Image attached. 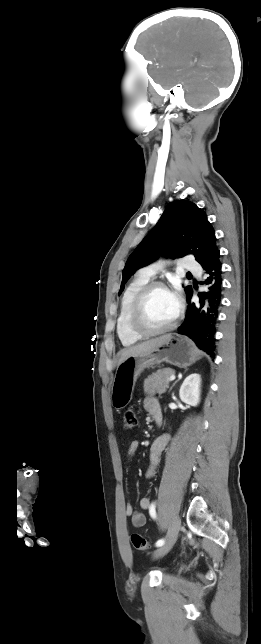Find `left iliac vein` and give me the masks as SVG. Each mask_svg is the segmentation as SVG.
Instances as JSON below:
<instances>
[{"instance_id":"obj_1","label":"left iliac vein","mask_w":261,"mask_h":644,"mask_svg":"<svg viewBox=\"0 0 261 644\" xmlns=\"http://www.w3.org/2000/svg\"><path fill=\"white\" fill-rule=\"evenodd\" d=\"M180 527H181L180 518L178 516L173 517V519L169 523L167 540L164 545H162L154 552L153 554L154 557L158 558V557L164 556L170 551V549L173 547V545L177 540Z\"/></svg>"}]
</instances>
